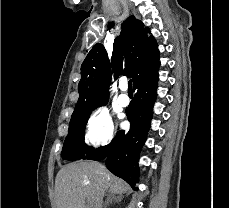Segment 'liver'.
Masks as SVG:
<instances>
[{"mask_svg": "<svg viewBox=\"0 0 229 208\" xmlns=\"http://www.w3.org/2000/svg\"><path fill=\"white\" fill-rule=\"evenodd\" d=\"M107 190L111 194H125L130 188L98 162L81 160L78 164H67L55 180L57 208H100Z\"/></svg>", "mask_w": 229, "mask_h": 208, "instance_id": "6515ba94", "label": "liver"}]
</instances>
